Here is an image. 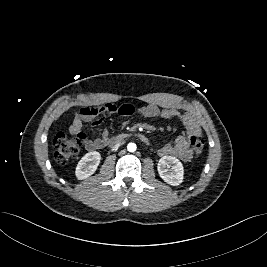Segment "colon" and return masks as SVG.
Masks as SVG:
<instances>
[{
  "instance_id": "1",
  "label": "colon",
  "mask_w": 267,
  "mask_h": 267,
  "mask_svg": "<svg viewBox=\"0 0 267 267\" xmlns=\"http://www.w3.org/2000/svg\"><path fill=\"white\" fill-rule=\"evenodd\" d=\"M84 139L83 133L69 137L64 132H58L54 138L55 160L60 164H65L74 159L80 153ZM189 142L193 153L197 156L201 155L204 150V141L197 136H191Z\"/></svg>"
}]
</instances>
